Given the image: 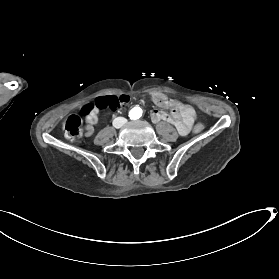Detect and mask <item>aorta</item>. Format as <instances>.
<instances>
[{
	"instance_id": "762f6f07",
	"label": "aorta",
	"mask_w": 279,
	"mask_h": 279,
	"mask_svg": "<svg viewBox=\"0 0 279 279\" xmlns=\"http://www.w3.org/2000/svg\"><path fill=\"white\" fill-rule=\"evenodd\" d=\"M142 115V109L140 107H134L130 110L129 116L131 119H138Z\"/></svg>"
}]
</instances>
